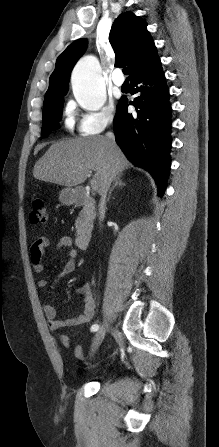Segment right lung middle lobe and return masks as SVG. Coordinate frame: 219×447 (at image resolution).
Masks as SVG:
<instances>
[{
	"instance_id": "dd1d6c3e",
	"label": "right lung middle lobe",
	"mask_w": 219,
	"mask_h": 447,
	"mask_svg": "<svg viewBox=\"0 0 219 447\" xmlns=\"http://www.w3.org/2000/svg\"><path fill=\"white\" fill-rule=\"evenodd\" d=\"M65 94L66 93L58 94L44 100L43 124L41 131L42 136H45L49 134L52 130L58 128V122L60 121L62 116V108Z\"/></svg>"
}]
</instances>
